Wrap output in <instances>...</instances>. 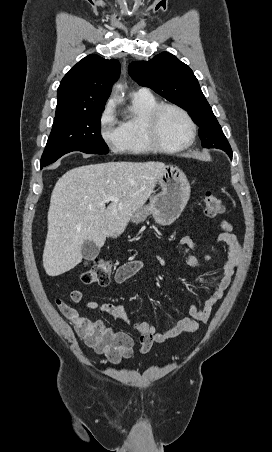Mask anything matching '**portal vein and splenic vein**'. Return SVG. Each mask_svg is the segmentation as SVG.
<instances>
[{"mask_svg": "<svg viewBox=\"0 0 272 452\" xmlns=\"http://www.w3.org/2000/svg\"><path fill=\"white\" fill-rule=\"evenodd\" d=\"M109 201H119V198L114 197V196H112V195H108V196H106V198H105V202H109Z\"/></svg>", "mask_w": 272, "mask_h": 452, "instance_id": "portal-vein-and-splenic-vein-1", "label": "portal vein and splenic vein"}]
</instances>
